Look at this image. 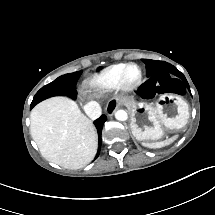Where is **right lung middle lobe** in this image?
I'll return each instance as SVG.
<instances>
[{"label": "right lung middle lobe", "instance_id": "obj_1", "mask_svg": "<svg viewBox=\"0 0 215 215\" xmlns=\"http://www.w3.org/2000/svg\"><path fill=\"white\" fill-rule=\"evenodd\" d=\"M80 75L81 71L65 74L41 88L34 96L33 101L31 103V108H33L42 100L55 95H67L75 99L77 94L75 90V85Z\"/></svg>", "mask_w": 215, "mask_h": 215}]
</instances>
